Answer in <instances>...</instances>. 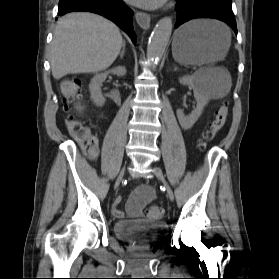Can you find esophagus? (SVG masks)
I'll return each mask as SVG.
<instances>
[{
	"label": "esophagus",
	"instance_id": "obj_1",
	"mask_svg": "<svg viewBox=\"0 0 279 279\" xmlns=\"http://www.w3.org/2000/svg\"><path fill=\"white\" fill-rule=\"evenodd\" d=\"M135 19L141 28L145 30L150 28L151 18L149 14L138 11L135 13Z\"/></svg>",
	"mask_w": 279,
	"mask_h": 279
}]
</instances>
